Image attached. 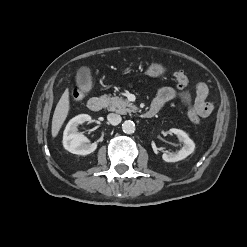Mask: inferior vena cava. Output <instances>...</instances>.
Wrapping results in <instances>:
<instances>
[{
    "label": "inferior vena cava",
    "instance_id": "1",
    "mask_svg": "<svg viewBox=\"0 0 247 247\" xmlns=\"http://www.w3.org/2000/svg\"><path fill=\"white\" fill-rule=\"evenodd\" d=\"M107 120L112 125H118L121 122L122 118L119 114L110 113L107 115Z\"/></svg>",
    "mask_w": 247,
    "mask_h": 247
}]
</instances>
